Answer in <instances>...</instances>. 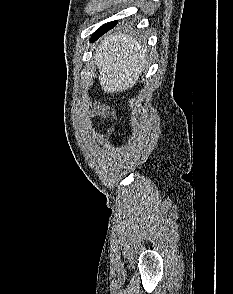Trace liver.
<instances>
[{"mask_svg":"<svg viewBox=\"0 0 233 294\" xmlns=\"http://www.w3.org/2000/svg\"><path fill=\"white\" fill-rule=\"evenodd\" d=\"M95 47V64L105 93H120L139 81L146 61L145 45L126 33L106 34Z\"/></svg>","mask_w":233,"mask_h":294,"instance_id":"liver-1","label":"liver"}]
</instances>
